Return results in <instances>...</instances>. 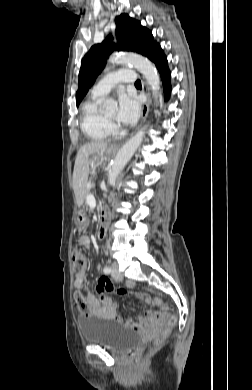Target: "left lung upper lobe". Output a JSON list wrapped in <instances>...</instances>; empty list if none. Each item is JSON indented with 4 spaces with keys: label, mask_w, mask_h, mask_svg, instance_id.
<instances>
[{
    "label": "left lung upper lobe",
    "mask_w": 252,
    "mask_h": 390,
    "mask_svg": "<svg viewBox=\"0 0 252 390\" xmlns=\"http://www.w3.org/2000/svg\"><path fill=\"white\" fill-rule=\"evenodd\" d=\"M115 23L117 44L112 43L113 37L110 35L101 44L92 46L82 58L78 91L76 92L77 105L105 67L106 59L113 50L132 51L147 57L149 51L156 44L151 31L142 27L140 22L130 18L127 14L116 17Z\"/></svg>",
    "instance_id": "left-lung-upper-lobe-1"
}]
</instances>
